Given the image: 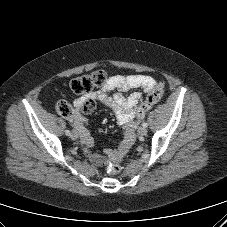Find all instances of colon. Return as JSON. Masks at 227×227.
Masks as SVG:
<instances>
[{
	"label": "colon",
	"instance_id": "1",
	"mask_svg": "<svg viewBox=\"0 0 227 227\" xmlns=\"http://www.w3.org/2000/svg\"><path fill=\"white\" fill-rule=\"evenodd\" d=\"M107 73L104 70H96L89 75H84L73 79L70 83L71 90L78 95L88 94L98 87H102L107 82ZM165 84L163 81L156 83L152 91L148 94L145 102L139 107L136 113V119L139 121L144 118L146 112L150 110L162 97ZM57 112L65 118L73 115V108L66 101H59L56 104ZM107 170L110 174L115 175L121 172L122 166L118 161L109 164Z\"/></svg>",
	"mask_w": 227,
	"mask_h": 227
}]
</instances>
